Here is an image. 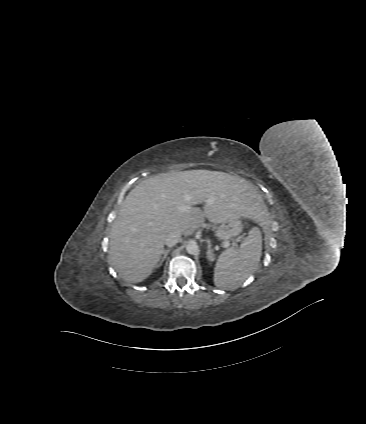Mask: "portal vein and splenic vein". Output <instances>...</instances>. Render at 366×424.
<instances>
[{"label":"portal vein and splenic vein","mask_w":366,"mask_h":424,"mask_svg":"<svg viewBox=\"0 0 366 424\" xmlns=\"http://www.w3.org/2000/svg\"><path fill=\"white\" fill-rule=\"evenodd\" d=\"M224 247L225 248L229 247V243L228 242H224Z\"/></svg>","instance_id":"portal-vein-and-splenic-vein-1"}]
</instances>
